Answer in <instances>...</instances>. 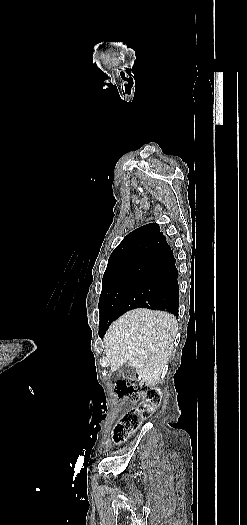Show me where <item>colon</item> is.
I'll use <instances>...</instances> for the list:
<instances>
[{"label": "colon", "mask_w": 247, "mask_h": 525, "mask_svg": "<svg viewBox=\"0 0 247 525\" xmlns=\"http://www.w3.org/2000/svg\"><path fill=\"white\" fill-rule=\"evenodd\" d=\"M115 393L119 399L138 401L142 398L136 406L124 413L113 433L114 442L120 443L153 414L160 402L161 391L144 381L121 379L116 383Z\"/></svg>", "instance_id": "obj_1"}]
</instances>
